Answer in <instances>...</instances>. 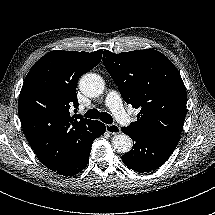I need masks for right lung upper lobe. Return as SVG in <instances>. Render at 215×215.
<instances>
[{"label":"right lung upper lobe","instance_id":"1","mask_svg":"<svg viewBox=\"0 0 215 215\" xmlns=\"http://www.w3.org/2000/svg\"><path fill=\"white\" fill-rule=\"evenodd\" d=\"M102 50L92 53L54 50L40 58L27 74L18 100L25 136L39 160L56 169L68 153V139L92 120L71 116L77 103L79 77L97 66Z\"/></svg>","mask_w":215,"mask_h":215}]
</instances>
